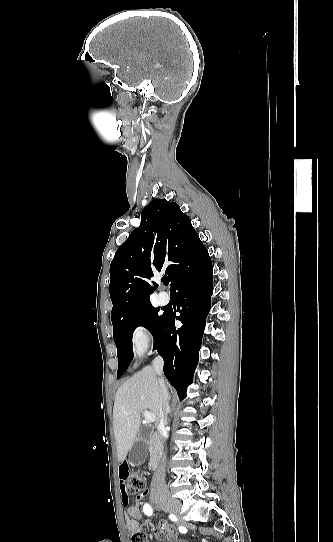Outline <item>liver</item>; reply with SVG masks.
I'll return each mask as SVG.
<instances>
[{"mask_svg": "<svg viewBox=\"0 0 333 542\" xmlns=\"http://www.w3.org/2000/svg\"><path fill=\"white\" fill-rule=\"evenodd\" d=\"M165 388H169L167 382ZM166 398L167 400L170 398L168 392ZM162 408H164L163 394L152 366H146L118 388L113 410V430L120 464L126 460L137 438L141 414L144 410H150L156 416L155 428H159Z\"/></svg>", "mask_w": 333, "mask_h": 542, "instance_id": "obj_1", "label": "liver"}]
</instances>
